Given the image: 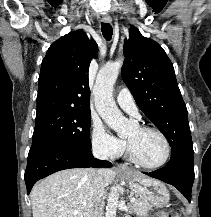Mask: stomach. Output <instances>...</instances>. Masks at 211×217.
<instances>
[{
    "label": "stomach",
    "instance_id": "stomach-1",
    "mask_svg": "<svg viewBox=\"0 0 211 217\" xmlns=\"http://www.w3.org/2000/svg\"><path fill=\"white\" fill-rule=\"evenodd\" d=\"M123 177L128 180L130 188L151 205L163 207L169 202L170 194L163 182L137 172L124 173Z\"/></svg>",
    "mask_w": 211,
    "mask_h": 217
}]
</instances>
